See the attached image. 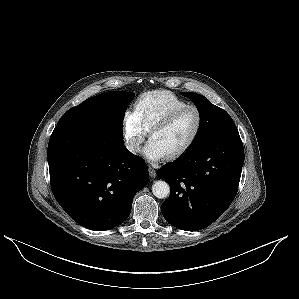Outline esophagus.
Listing matches in <instances>:
<instances>
[{
  "label": "esophagus",
  "mask_w": 299,
  "mask_h": 299,
  "mask_svg": "<svg viewBox=\"0 0 299 299\" xmlns=\"http://www.w3.org/2000/svg\"><path fill=\"white\" fill-rule=\"evenodd\" d=\"M148 171H149V175H150V177H152V178H155V177H156V171H155L154 168L149 167Z\"/></svg>",
  "instance_id": "obj_1"
}]
</instances>
